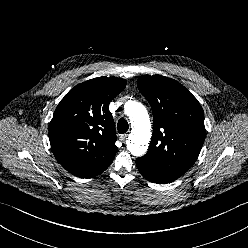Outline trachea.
<instances>
[{
  "label": "trachea",
  "instance_id": "obj_1",
  "mask_svg": "<svg viewBox=\"0 0 248 248\" xmlns=\"http://www.w3.org/2000/svg\"><path fill=\"white\" fill-rule=\"evenodd\" d=\"M129 128L128 122L125 119H119L117 129L120 134L126 133Z\"/></svg>",
  "mask_w": 248,
  "mask_h": 248
}]
</instances>
